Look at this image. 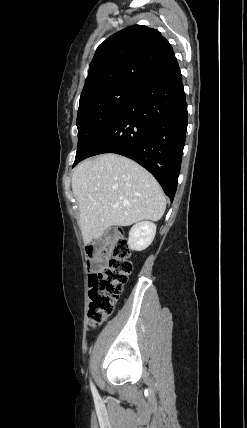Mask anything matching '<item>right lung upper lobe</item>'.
<instances>
[{
    "instance_id": "1",
    "label": "right lung upper lobe",
    "mask_w": 247,
    "mask_h": 428,
    "mask_svg": "<svg viewBox=\"0 0 247 428\" xmlns=\"http://www.w3.org/2000/svg\"><path fill=\"white\" fill-rule=\"evenodd\" d=\"M176 63L159 31L143 25L125 28L98 46L81 95L113 86L142 90Z\"/></svg>"
}]
</instances>
